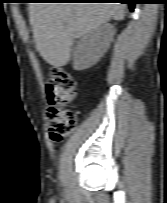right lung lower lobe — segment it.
I'll return each mask as SVG.
<instances>
[{
	"label": "right lung lower lobe",
	"instance_id": "1",
	"mask_svg": "<svg viewBox=\"0 0 167 203\" xmlns=\"http://www.w3.org/2000/svg\"><path fill=\"white\" fill-rule=\"evenodd\" d=\"M90 1H98L102 3H109V2H120V3H128L130 7V11L134 10L135 4L137 3L136 0H90Z\"/></svg>",
	"mask_w": 167,
	"mask_h": 203
}]
</instances>
